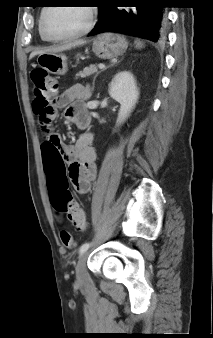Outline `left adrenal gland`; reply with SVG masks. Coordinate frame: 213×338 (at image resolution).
Returning <instances> with one entry per match:
<instances>
[{"label": "left adrenal gland", "instance_id": "obj_1", "mask_svg": "<svg viewBox=\"0 0 213 338\" xmlns=\"http://www.w3.org/2000/svg\"><path fill=\"white\" fill-rule=\"evenodd\" d=\"M95 78H96V76H95L94 79H93L92 90L94 89V81H95Z\"/></svg>", "mask_w": 213, "mask_h": 338}]
</instances>
